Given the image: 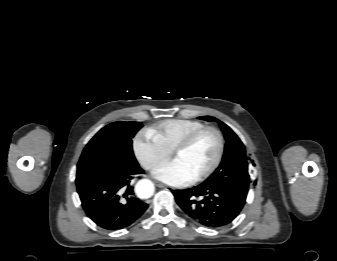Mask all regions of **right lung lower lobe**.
<instances>
[{"label":"right lung lower lobe","mask_w":337,"mask_h":261,"mask_svg":"<svg viewBox=\"0 0 337 261\" xmlns=\"http://www.w3.org/2000/svg\"><path fill=\"white\" fill-rule=\"evenodd\" d=\"M142 173L139 165L122 167L77 183L87 216L106 230H119L133 224L148 207L134 196L131 185Z\"/></svg>","instance_id":"obj_1"}]
</instances>
